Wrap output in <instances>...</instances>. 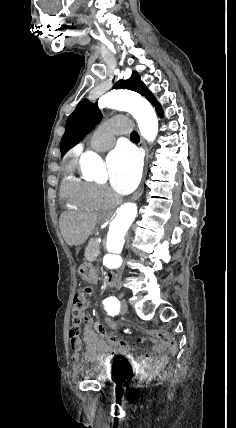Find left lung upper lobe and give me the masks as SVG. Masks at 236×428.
<instances>
[{"label": "left lung upper lobe", "mask_w": 236, "mask_h": 428, "mask_svg": "<svg viewBox=\"0 0 236 428\" xmlns=\"http://www.w3.org/2000/svg\"><path fill=\"white\" fill-rule=\"evenodd\" d=\"M113 88H124L135 91L145 96L155 108L161 107L153 94L148 90L145 84L141 82L140 76L136 71L132 73V76L128 80L117 82ZM100 118L101 113L96 104L84 99L77 105L66 122V130L62 137L60 148L62 157L93 129Z\"/></svg>", "instance_id": "obj_1"}]
</instances>
